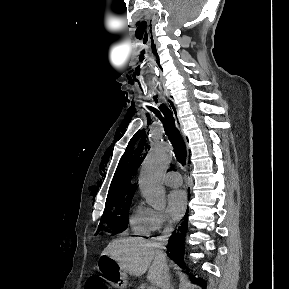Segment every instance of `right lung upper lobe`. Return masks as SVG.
<instances>
[{
	"mask_svg": "<svg viewBox=\"0 0 289 289\" xmlns=\"http://www.w3.org/2000/svg\"><path fill=\"white\" fill-rule=\"evenodd\" d=\"M126 166L127 162L125 164V167ZM125 174L119 180V183H117L116 187H114V189L109 190L106 203H117V202L121 203L133 197V192L136 189V186L132 185V187H130L131 174L130 172L128 173L127 176H125Z\"/></svg>",
	"mask_w": 289,
	"mask_h": 289,
	"instance_id": "cb5924a9",
	"label": "right lung upper lobe"
}]
</instances>
